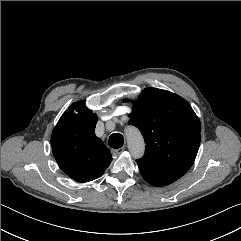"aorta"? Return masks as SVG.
<instances>
[{"label": "aorta", "mask_w": 241, "mask_h": 241, "mask_svg": "<svg viewBox=\"0 0 241 241\" xmlns=\"http://www.w3.org/2000/svg\"><path fill=\"white\" fill-rule=\"evenodd\" d=\"M128 146L135 157H139L144 152V141L138 129L132 127L126 131Z\"/></svg>", "instance_id": "762f6f07"}]
</instances>
